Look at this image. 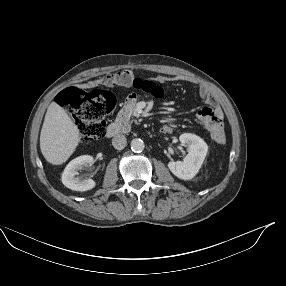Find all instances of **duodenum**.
I'll use <instances>...</instances> for the list:
<instances>
[{
	"instance_id": "duodenum-1",
	"label": "duodenum",
	"mask_w": 286,
	"mask_h": 286,
	"mask_svg": "<svg viewBox=\"0 0 286 286\" xmlns=\"http://www.w3.org/2000/svg\"><path fill=\"white\" fill-rule=\"evenodd\" d=\"M126 129V126L122 122H114L108 125L105 131V136L107 138L115 137L121 134Z\"/></svg>"
}]
</instances>
